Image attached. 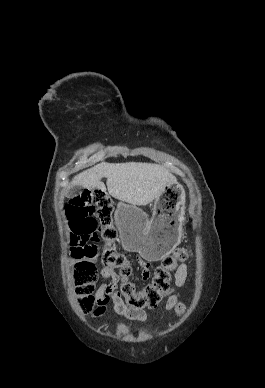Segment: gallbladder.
I'll return each instance as SVG.
<instances>
[{
    "mask_svg": "<svg viewBox=\"0 0 265 388\" xmlns=\"http://www.w3.org/2000/svg\"><path fill=\"white\" fill-rule=\"evenodd\" d=\"M81 190H83L82 186H73L72 190H70L69 194H67V198H74V196H78Z\"/></svg>",
    "mask_w": 265,
    "mask_h": 388,
    "instance_id": "obj_1",
    "label": "gallbladder"
}]
</instances>
